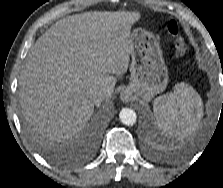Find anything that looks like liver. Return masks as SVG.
I'll list each match as a JSON object with an SVG mask.
<instances>
[{
	"instance_id": "1",
	"label": "liver",
	"mask_w": 223,
	"mask_h": 188,
	"mask_svg": "<svg viewBox=\"0 0 223 188\" xmlns=\"http://www.w3.org/2000/svg\"><path fill=\"white\" fill-rule=\"evenodd\" d=\"M140 13L93 11L54 23L27 55L19 77L22 114L51 141L80 132L94 112L93 90L111 97L129 65L130 28Z\"/></svg>"
}]
</instances>
